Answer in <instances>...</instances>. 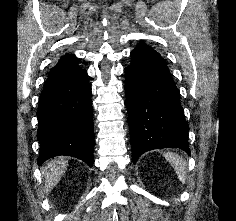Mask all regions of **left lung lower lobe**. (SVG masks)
I'll list each match as a JSON object with an SVG mask.
<instances>
[{
  "label": "left lung lower lobe",
  "mask_w": 236,
  "mask_h": 221,
  "mask_svg": "<svg viewBox=\"0 0 236 221\" xmlns=\"http://www.w3.org/2000/svg\"><path fill=\"white\" fill-rule=\"evenodd\" d=\"M130 56L125 92L133 162L159 148L176 147L190 154L189 125L165 60L145 43H139Z\"/></svg>",
  "instance_id": "1"
}]
</instances>
